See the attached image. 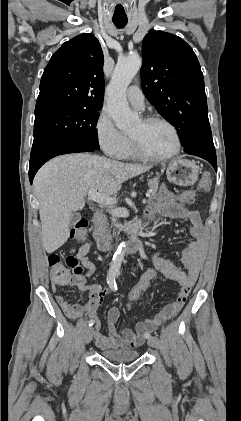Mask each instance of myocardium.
<instances>
[{
    "instance_id": "1",
    "label": "myocardium",
    "mask_w": 241,
    "mask_h": 421,
    "mask_svg": "<svg viewBox=\"0 0 241 421\" xmlns=\"http://www.w3.org/2000/svg\"><path fill=\"white\" fill-rule=\"evenodd\" d=\"M142 122L144 124H152V123H162L166 126H168L171 131L174 134V138H175V147L174 149L166 154V155H162V156H154L149 154L141 145V143L139 142V140L132 136L129 135L131 144H132V148L135 152V154L137 155V157L147 160V161H151V162H165L168 161L170 159H172L173 157H175L181 150L182 147V141H181V136L179 133V130L177 129V127L169 120L160 117V116H148L142 119Z\"/></svg>"
}]
</instances>
